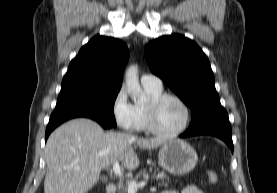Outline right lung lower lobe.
Wrapping results in <instances>:
<instances>
[{"mask_svg": "<svg viewBox=\"0 0 277 193\" xmlns=\"http://www.w3.org/2000/svg\"><path fill=\"white\" fill-rule=\"evenodd\" d=\"M77 117H86V118H90L93 119L95 121H97L98 123L101 124L102 127L104 128H111L113 126H111L110 124H108L107 122L91 115L88 113H83V112H77V111H54L50 117L49 123L47 125L46 128V133H45V141L47 140L49 134L60 124H62L63 122L72 119V118H77Z\"/></svg>", "mask_w": 277, "mask_h": 193, "instance_id": "right-lung-lower-lobe-1", "label": "right lung lower lobe"}]
</instances>
